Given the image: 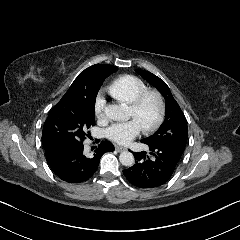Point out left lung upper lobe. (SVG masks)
Masks as SVG:
<instances>
[{"mask_svg":"<svg viewBox=\"0 0 240 240\" xmlns=\"http://www.w3.org/2000/svg\"><path fill=\"white\" fill-rule=\"evenodd\" d=\"M135 71L154 86L164 96L166 101L163 124L154 135L141 140V142L148 146L169 148L182 154L187 143L188 128L186 118L180 106L162 79L145 70Z\"/></svg>","mask_w":240,"mask_h":240,"instance_id":"5c2ea615","label":"left lung upper lobe"}]
</instances>
